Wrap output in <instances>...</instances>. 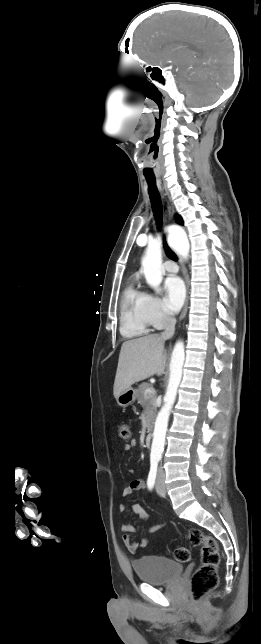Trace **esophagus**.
I'll list each match as a JSON object with an SVG mask.
<instances>
[{"mask_svg":"<svg viewBox=\"0 0 261 644\" xmlns=\"http://www.w3.org/2000/svg\"><path fill=\"white\" fill-rule=\"evenodd\" d=\"M173 214H174V209L172 208V206H170L168 204L169 218H172ZM183 274H184V279H185V283H186L187 295H186L183 310H182L181 315H180L181 319H183L187 314L188 305H189V288H190V279H189V275H188V272H187L186 268L183 269Z\"/></svg>","mask_w":261,"mask_h":644,"instance_id":"obj_1","label":"esophagus"}]
</instances>
